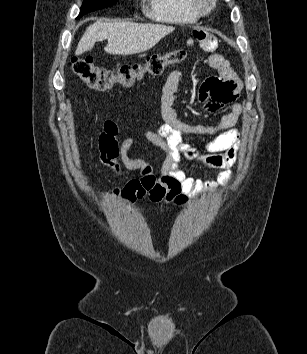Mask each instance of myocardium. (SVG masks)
<instances>
[{"mask_svg":"<svg viewBox=\"0 0 307 354\" xmlns=\"http://www.w3.org/2000/svg\"><path fill=\"white\" fill-rule=\"evenodd\" d=\"M191 4L199 16H204L208 15L214 10L216 6V0H191Z\"/></svg>","mask_w":307,"mask_h":354,"instance_id":"obj_1","label":"myocardium"}]
</instances>
